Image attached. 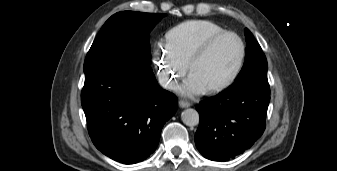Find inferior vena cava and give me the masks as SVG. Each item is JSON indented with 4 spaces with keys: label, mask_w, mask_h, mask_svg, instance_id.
Wrapping results in <instances>:
<instances>
[{
    "label": "inferior vena cava",
    "mask_w": 337,
    "mask_h": 171,
    "mask_svg": "<svg viewBox=\"0 0 337 171\" xmlns=\"http://www.w3.org/2000/svg\"><path fill=\"white\" fill-rule=\"evenodd\" d=\"M159 84L166 89L175 90L178 87L177 82L170 81L168 75L166 74H160L158 77Z\"/></svg>",
    "instance_id": "obj_1"
}]
</instances>
